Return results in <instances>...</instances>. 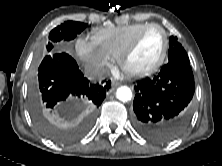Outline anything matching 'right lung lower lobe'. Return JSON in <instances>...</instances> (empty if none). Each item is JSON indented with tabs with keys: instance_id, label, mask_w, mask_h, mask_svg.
<instances>
[{
	"instance_id": "obj_1",
	"label": "right lung lower lobe",
	"mask_w": 222,
	"mask_h": 166,
	"mask_svg": "<svg viewBox=\"0 0 222 166\" xmlns=\"http://www.w3.org/2000/svg\"><path fill=\"white\" fill-rule=\"evenodd\" d=\"M37 77L38 84L32 94L31 108H40L53 117L71 101L79 98H85L99 107L111 86V81L102 82L101 85L90 84L76 61L64 52L46 55L38 68Z\"/></svg>"
}]
</instances>
